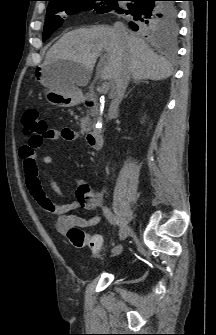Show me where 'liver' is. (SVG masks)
I'll use <instances>...</instances> for the list:
<instances>
[{
	"label": "liver",
	"instance_id": "liver-1",
	"mask_svg": "<svg viewBox=\"0 0 216 335\" xmlns=\"http://www.w3.org/2000/svg\"><path fill=\"white\" fill-rule=\"evenodd\" d=\"M104 53L97 67V76L111 82L115 93L116 80L126 69L134 80H163L173 73L172 65L156 54L144 40L128 34L119 39L113 28L99 25L64 34L46 53L43 66L57 62H73L80 67L67 70V81L77 86L88 84L97 58Z\"/></svg>",
	"mask_w": 216,
	"mask_h": 335
}]
</instances>
